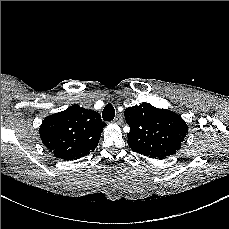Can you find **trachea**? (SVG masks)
I'll return each mask as SVG.
<instances>
[{
  "label": "trachea",
  "mask_w": 229,
  "mask_h": 229,
  "mask_svg": "<svg viewBox=\"0 0 229 229\" xmlns=\"http://www.w3.org/2000/svg\"><path fill=\"white\" fill-rule=\"evenodd\" d=\"M115 117V109L111 103L106 104L102 112V118L104 121H111Z\"/></svg>",
  "instance_id": "obj_1"
}]
</instances>
